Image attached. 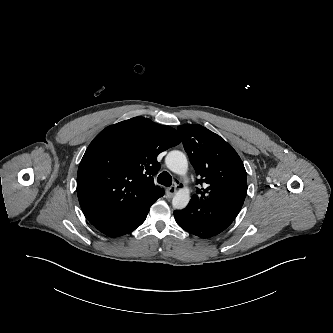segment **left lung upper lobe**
<instances>
[{"label": "left lung upper lobe", "mask_w": 333, "mask_h": 333, "mask_svg": "<svg viewBox=\"0 0 333 333\" xmlns=\"http://www.w3.org/2000/svg\"><path fill=\"white\" fill-rule=\"evenodd\" d=\"M183 146L196 173L200 176L192 198L205 199L227 192L247 193V175L237 152L219 135L201 125L178 126Z\"/></svg>", "instance_id": "left-lung-upper-lobe-1"}]
</instances>
